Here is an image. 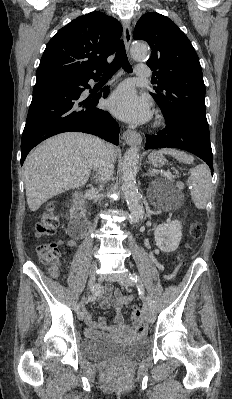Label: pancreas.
Returning <instances> with one entry per match:
<instances>
[{
  "mask_svg": "<svg viewBox=\"0 0 232 399\" xmlns=\"http://www.w3.org/2000/svg\"><path fill=\"white\" fill-rule=\"evenodd\" d=\"M167 180H170V182H174L173 176H169V178H167Z\"/></svg>",
  "mask_w": 232,
  "mask_h": 399,
  "instance_id": "cf45deb5",
  "label": "pancreas"
}]
</instances>
